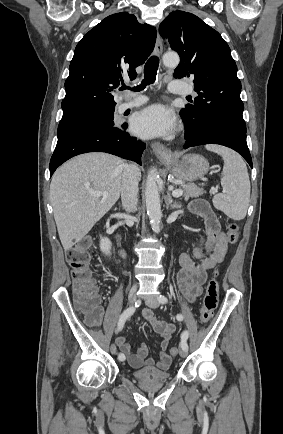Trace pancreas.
Wrapping results in <instances>:
<instances>
[{
    "label": "pancreas",
    "instance_id": "pancreas-1",
    "mask_svg": "<svg viewBox=\"0 0 283 434\" xmlns=\"http://www.w3.org/2000/svg\"><path fill=\"white\" fill-rule=\"evenodd\" d=\"M180 188L184 191V198L188 199L190 197H199L204 195L205 191L202 188H199L195 184L192 183H183L180 185Z\"/></svg>",
    "mask_w": 283,
    "mask_h": 434
}]
</instances>
